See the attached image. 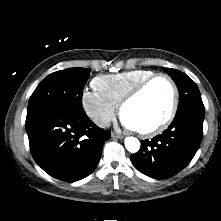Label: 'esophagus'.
Returning <instances> with one entry per match:
<instances>
[{"instance_id":"obj_1","label":"esophagus","mask_w":221,"mask_h":221,"mask_svg":"<svg viewBox=\"0 0 221 221\" xmlns=\"http://www.w3.org/2000/svg\"><path fill=\"white\" fill-rule=\"evenodd\" d=\"M112 137L122 139L124 136L115 132H112Z\"/></svg>"}]
</instances>
